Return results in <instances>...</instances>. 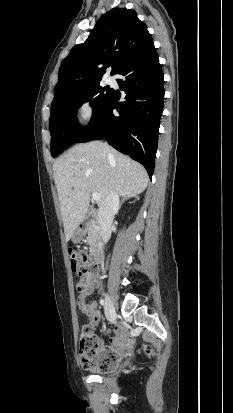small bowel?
Listing matches in <instances>:
<instances>
[{
    "mask_svg": "<svg viewBox=\"0 0 233 413\" xmlns=\"http://www.w3.org/2000/svg\"><path fill=\"white\" fill-rule=\"evenodd\" d=\"M98 280L93 279L91 285L84 291L80 292L77 297V306L82 314L87 316L93 324H97L101 319V314L96 301L87 302V297L92 294L95 287L98 286ZM132 346V339L126 335V330L123 326H116L112 335L109 337V345L100 344V354L105 356L108 351H112L119 355L127 354Z\"/></svg>",
    "mask_w": 233,
    "mask_h": 413,
    "instance_id": "small-bowel-1",
    "label": "small bowel"
}]
</instances>
